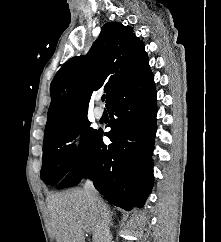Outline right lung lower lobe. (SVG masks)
<instances>
[{"label":"right lung lower lobe","mask_w":221,"mask_h":242,"mask_svg":"<svg viewBox=\"0 0 221 242\" xmlns=\"http://www.w3.org/2000/svg\"><path fill=\"white\" fill-rule=\"evenodd\" d=\"M110 113L105 133L97 130L81 160L58 189L92 179L95 188L112 204L125 210L144 205L153 185L151 155L156 133V90L151 70L123 86L107 105Z\"/></svg>","instance_id":"obj_1"}]
</instances>
